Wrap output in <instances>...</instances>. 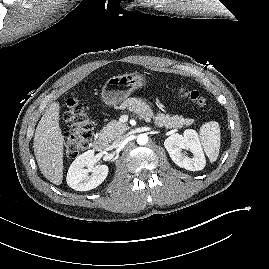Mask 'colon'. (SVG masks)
Masks as SVG:
<instances>
[{
    "label": "colon",
    "instance_id": "colon-1",
    "mask_svg": "<svg viewBox=\"0 0 269 269\" xmlns=\"http://www.w3.org/2000/svg\"><path fill=\"white\" fill-rule=\"evenodd\" d=\"M180 95L198 108L206 107L204 97L197 91L180 89ZM63 119L70 129L65 137V153L68 158H75L88 146L92 121L86 107L75 98L67 99Z\"/></svg>",
    "mask_w": 269,
    "mask_h": 269
}]
</instances>
